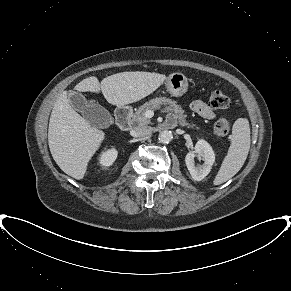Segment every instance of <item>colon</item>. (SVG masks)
<instances>
[{
    "mask_svg": "<svg viewBox=\"0 0 291 291\" xmlns=\"http://www.w3.org/2000/svg\"><path fill=\"white\" fill-rule=\"evenodd\" d=\"M230 105L229 98L220 90L213 89L209 93V106L212 109H224ZM230 131V123L226 118L218 119L214 124V132L218 136H226Z\"/></svg>",
    "mask_w": 291,
    "mask_h": 291,
    "instance_id": "1",
    "label": "colon"
}]
</instances>
